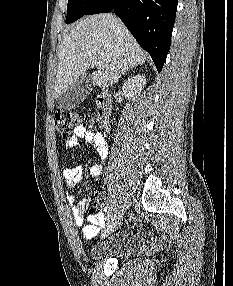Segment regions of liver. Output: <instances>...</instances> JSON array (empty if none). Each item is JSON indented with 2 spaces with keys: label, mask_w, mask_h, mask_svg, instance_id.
<instances>
[{
  "label": "liver",
  "mask_w": 233,
  "mask_h": 286,
  "mask_svg": "<svg viewBox=\"0 0 233 286\" xmlns=\"http://www.w3.org/2000/svg\"><path fill=\"white\" fill-rule=\"evenodd\" d=\"M58 67L53 97L68 87L98 61L104 68L92 74L100 88L117 82L125 70L142 65L145 53L128 29L110 13L86 16L67 32L58 47Z\"/></svg>",
  "instance_id": "1"
}]
</instances>
